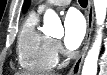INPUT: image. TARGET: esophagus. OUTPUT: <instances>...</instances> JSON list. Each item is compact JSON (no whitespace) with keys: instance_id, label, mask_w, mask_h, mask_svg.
I'll return each instance as SVG.
<instances>
[{"instance_id":"1","label":"esophagus","mask_w":107,"mask_h":75,"mask_svg":"<svg viewBox=\"0 0 107 75\" xmlns=\"http://www.w3.org/2000/svg\"><path fill=\"white\" fill-rule=\"evenodd\" d=\"M86 18H87V32H86V37L84 41V46L76 59L74 65L70 69L68 75H79L82 67L83 60L85 58V55L87 53L89 44H90V39H91V34L93 30V25H94V8H93V2L92 0H88V9L86 12Z\"/></svg>"}]
</instances>
